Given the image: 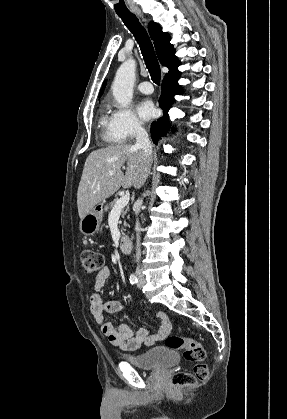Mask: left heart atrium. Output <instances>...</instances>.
<instances>
[{
	"label": "left heart atrium",
	"instance_id": "left-heart-atrium-1",
	"mask_svg": "<svg viewBox=\"0 0 287 419\" xmlns=\"http://www.w3.org/2000/svg\"><path fill=\"white\" fill-rule=\"evenodd\" d=\"M137 113L144 120L152 118L155 114V108L153 103L148 99L142 100L137 105Z\"/></svg>",
	"mask_w": 287,
	"mask_h": 419
}]
</instances>
